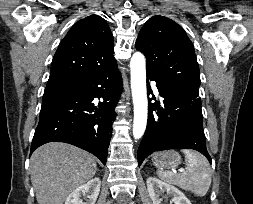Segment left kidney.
Returning <instances> with one entry per match:
<instances>
[{"mask_svg": "<svg viewBox=\"0 0 253 204\" xmlns=\"http://www.w3.org/2000/svg\"><path fill=\"white\" fill-rule=\"evenodd\" d=\"M147 189L153 201V204H161L160 197L164 192L172 197L170 204H191L190 200L176 187L169 185L156 177H149L147 179Z\"/></svg>", "mask_w": 253, "mask_h": 204, "instance_id": "left-kidney-1", "label": "left kidney"}]
</instances>
